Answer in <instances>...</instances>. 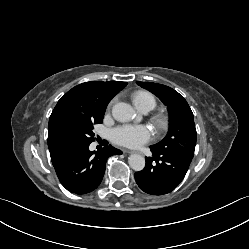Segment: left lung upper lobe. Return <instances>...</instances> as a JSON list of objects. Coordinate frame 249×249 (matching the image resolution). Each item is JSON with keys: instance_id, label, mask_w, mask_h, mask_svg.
I'll list each match as a JSON object with an SVG mask.
<instances>
[{"instance_id": "left-lung-upper-lobe-1", "label": "left lung upper lobe", "mask_w": 249, "mask_h": 249, "mask_svg": "<svg viewBox=\"0 0 249 249\" xmlns=\"http://www.w3.org/2000/svg\"><path fill=\"white\" fill-rule=\"evenodd\" d=\"M137 84L156 95L167 106L170 114L166 137L151 147L160 152L180 153L193 157L197 133L193 113L184 97L162 84L152 82H137Z\"/></svg>"}]
</instances>
